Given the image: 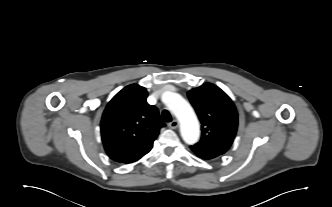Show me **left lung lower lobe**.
Listing matches in <instances>:
<instances>
[{"label":"left lung lower lobe","instance_id":"left-lung-lower-lobe-1","mask_svg":"<svg viewBox=\"0 0 332 207\" xmlns=\"http://www.w3.org/2000/svg\"><path fill=\"white\" fill-rule=\"evenodd\" d=\"M197 156H199L200 158H203V159H206V160H209V159H213L215 158L216 156H213V155H210V154H204V153H199L197 151H194L192 150Z\"/></svg>","mask_w":332,"mask_h":207}]
</instances>
